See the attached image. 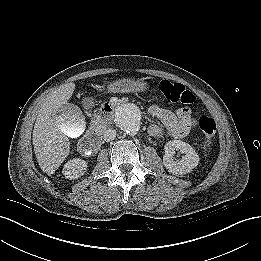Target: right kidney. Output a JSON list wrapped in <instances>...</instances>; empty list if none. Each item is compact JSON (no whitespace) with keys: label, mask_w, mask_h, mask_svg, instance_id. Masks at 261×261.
Segmentation results:
<instances>
[{"label":"right kidney","mask_w":261,"mask_h":261,"mask_svg":"<svg viewBox=\"0 0 261 261\" xmlns=\"http://www.w3.org/2000/svg\"><path fill=\"white\" fill-rule=\"evenodd\" d=\"M87 166L88 165L86 161L79 158L77 159L75 158L68 161L64 165L63 174L65 175L66 178L77 179L82 175H84V173L87 170Z\"/></svg>","instance_id":"obj_1"}]
</instances>
